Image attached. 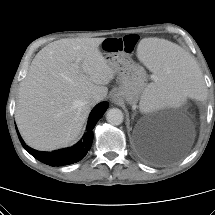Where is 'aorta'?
<instances>
[{
    "instance_id": "1",
    "label": "aorta",
    "mask_w": 215,
    "mask_h": 215,
    "mask_svg": "<svg viewBox=\"0 0 215 215\" xmlns=\"http://www.w3.org/2000/svg\"><path fill=\"white\" fill-rule=\"evenodd\" d=\"M124 115L122 111L118 108H111L107 111L106 120L111 125H120L122 124Z\"/></svg>"
}]
</instances>
